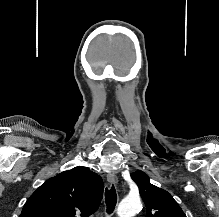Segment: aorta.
<instances>
[{
  "instance_id": "aorta-1",
  "label": "aorta",
  "mask_w": 219,
  "mask_h": 217,
  "mask_svg": "<svg viewBox=\"0 0 219 217\" xmlns=\"http://www.w3.org/2000/svg\"><path fill=\"white\" fill-rule=\"evenodd\" d=\"M141 208L142 204L138 196L126 197L119 204L117 214L119 217H133Z\"/></svg>"
}]
</instances>
